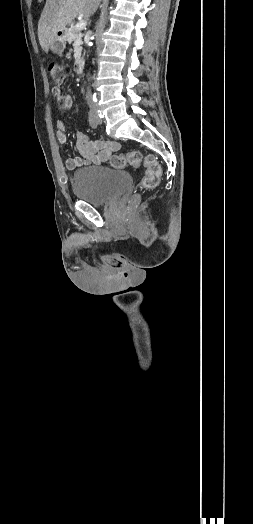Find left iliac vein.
I'll list each match as a JSON object with an SVG mask.
<instances>
[{
	"label": "left iliac vein",
	"instance_id": "4c4485c4",
	"mask_svg": "<svg viewBox=\"0 0 253 524\" xmlns=\"http://www.w3.org/2000/svg\"><path fill=\"white\" fill-rule=\"evenodd\" d=\"M94 113H95V117H96L97 123L101 124L102 123V119L96 114V110L95 109H94Z\"/></svg>",
	"mask_w": 253,
	"mask_h": 524
}]
</instances>
